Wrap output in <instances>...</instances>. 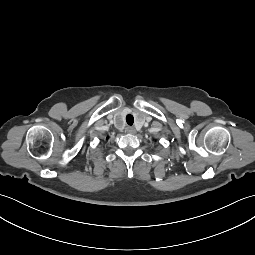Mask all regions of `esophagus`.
Returning a JSON list of instances; mask_svg holds the SVG:
<instances>
[{
    "instance_id": "esophagus-1",
    "label": "esophagus",
    "mask_w": 255,
    "mask_h": 255,
    "mask_svg": "<svg viewBox=\"0 0 255 255\" xmlns=\"http://www.w3.org/2000/svg\"><path fill=\"white\" fill-rule=\"evenodd\" d=\"M126 131H127L128 133H130V134L135 133V129H134L133 127H130V126L127 127Z\"/></svg>"
}]
</instances>
